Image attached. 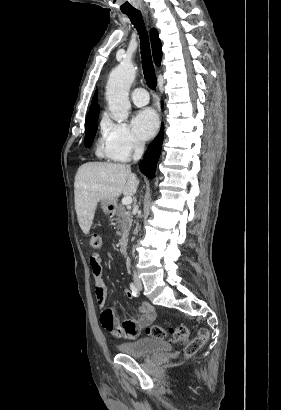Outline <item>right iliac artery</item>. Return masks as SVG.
Returning a JSON list of instances; mask_svg holds the SVG:
<instances>
[{"label": "right iliac artery", "mask_w": 281, "mask_h": 410, "mask_svg": "<svg viewBox=\"0 0 281 410\" xmlns=\"http://www.w3.org/2000/svg\"><path fill=\"white\" fill-rule=\"evenodd\" d=\"M130 289L132 290L134 296H137V295H138L139 292H138V289H137V287L135 286V284L131 283V284H130Z\"/></svg>", "instance_id": "obj_1"}]
</instances>
